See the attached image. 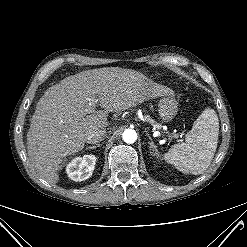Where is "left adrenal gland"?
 Masks as SVG:
<instances>
[{
    "label": "left adrenal gland",
    "mask_w": 247,
    "mask_h": 247,
    "mask_svg": "<svg viewBox=\"0 0 247 247\" xmlns=\"http://www.w3.org/2000/svg\"><path fill=\"white\" fill-rule=\"evenodd\" d=\"M146 135L149 138L150 142V149L153 150L155 152L156 155H158V150H157V146L154 144V142L152 141V138L150 137V135L148 134V132L146 131Z\"/></svg>",
    "instance_id": "1"
}]
</instances>
